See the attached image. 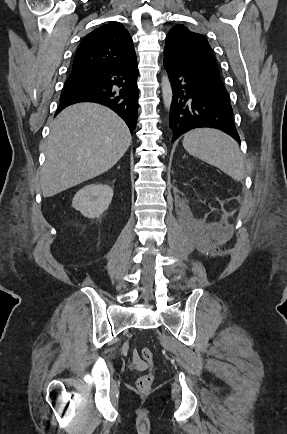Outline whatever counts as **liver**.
<instances>
[{
    "mask_svg": "<svg viewBox=\"0 0 287 434\" xmlns=\"http://www.w3.org/2000/svg\"><path fill=\"white\" fill-rule=\"evenodd\" d=\"M40 175L43 197H51L111 169L132 136L112 110L96 103L64 109L52 122Z\"/></svg>",
    "mask_w": 287,
    "mask_h": 434,
    "instance_id": "obj_1",
    "label": "liver"
}]
</instances>
